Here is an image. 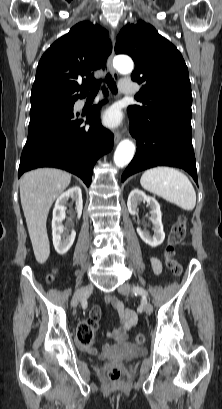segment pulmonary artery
<instances>
[{
    "label": "pulmonary artery",
    "instance_id": "e3ab8cb5",
    "mask_svg": "<svg viewBox=\"0 0 222 409\" xmlns=\"http://www.w3.org/2000/svg\"><path fill=\"white\" fill-rule=\"evenodd\" d=\"M119 88L123 94H133L136 91L135 87L130 84L119 83Z\"/></svg>",
    "mask_w": 222,
    "mask_h": 409
}]
</instances>
